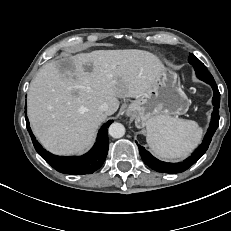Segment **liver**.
<instances>
[{"instance_id":"1","label":"liver","mask_w":231,"mask_h":231,"mask_svg":"<svg viewBox=\"0 0 231 231\" xmlns=\"http://www.w3.org/2000/svg\"><path fill=\"white\" fill-rule=\"evenodd\" d=\"M160 59L144 50H97L52 61L31 81L28 117L34 134L57 155L80 154L93 143L96 130L118 98H140L163 72Z\"/></svg>"}]
</instances>
